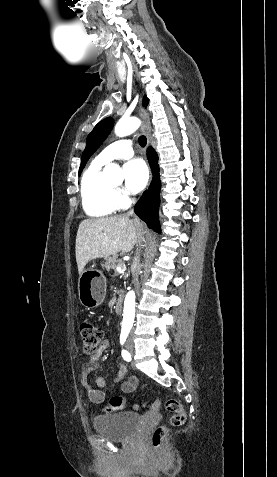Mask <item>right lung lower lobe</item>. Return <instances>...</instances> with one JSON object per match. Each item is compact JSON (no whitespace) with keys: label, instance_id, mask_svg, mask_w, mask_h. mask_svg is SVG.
<instances>
[{"label":"right lung lower lobe","instance_id":"98d812e1","mask_svg":"<svg viewBox=\"0 0 277 477\" xmlns=\"http://www.w3.org/2000/svg\"><path fill=\"white\" fill-rule=\"evenodd\" d=\"M148 160L153 172V180L149 189L143 193L135 205L136 214L154 231L160 232L158 224V208L160 203L161 182L159 178L158 156L152 148L148 149Z\"/></svg>","mask_w":277,"mask_h":477}]
</instances>
